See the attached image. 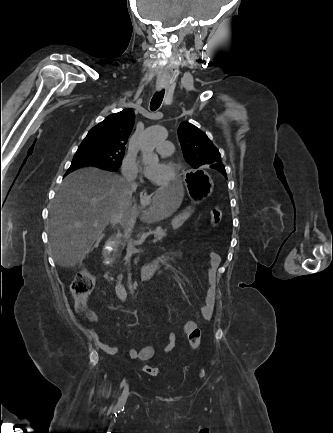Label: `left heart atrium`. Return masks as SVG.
Listing matches in <instances>:
<instances>
[{"instance_id":"1","label":"left heart atrium","mask_w":333,"mask_h":433,"mask_svg":"<svg viewBox=\"0 0 333 433\" xmlns=\"http://www.w3.org/2000/svg\"><path fill=\"white\" fill-rule=\"evenodd\" d=\"M144 174L153 181H159L160 179V166L159 165H147L144 167Z\"/></svg>"}]
</instances>
